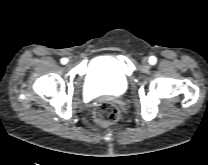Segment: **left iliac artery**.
Returning <instances> with one entry per match:
<instances>
[{
	"mask_svg": "<svg viewBox=\"0 0 208 165\" xmlns=\"http://www.w3.org/2000/svg\"><path fill=\"white\" fill-rule=\"evenodd\" d=\"M151 64H155L156 63V58L154 56L150 57V61Z\"/></svg>",
	"mask_w": 208,
	"mask_h": 165,
	"instance_id": "obj_1",
	"label": "left iliac artery"
}]
</instances>
